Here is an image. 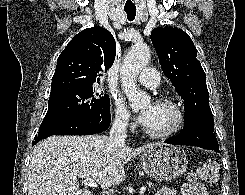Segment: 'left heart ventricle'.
<instances>
[{
  "mask_svg": "<svg viewBox=\"0 0 245 195\" xmlns=\"http://www.w3.org/2000/svg\"><path fill=\"white\" fill-rule=\"evenodd\" d=\"M148 106L146 105L144 109ZM176 118V111L172 107L155 103L149 120L144 126L151 131L162 132L170 129L174 125Z\"/></svg>",
  "mask_w": 245,
  "mask_h": 195,
  "instance_id": "obj_1",
  "label": "left heart ventricle"
}]
</instances>
